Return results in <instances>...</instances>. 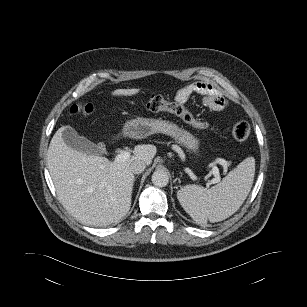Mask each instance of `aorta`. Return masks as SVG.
Here are the masks:
<instances>
[{
    "instance_id": "aorta-1",
    "label": "aorta",
    "mask_w": 307,
    "mask_h": 307,
    "mask_svg": "<svg viewBox=\"0 0 307 307\" xmlns=\"http://www.w3.org/2000/svg\"><path fill=\"white\" fill-rule=\"evenodd\" d=\"M169 182V175L165 170L158 169L152 174V183L157 187H165Z\"/></svg>"
}]
</instances>
